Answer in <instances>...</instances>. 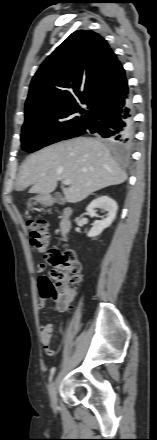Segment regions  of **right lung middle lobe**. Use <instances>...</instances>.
Masks as SVG:
<instances>
[{"label": "right lung middle lobe", "mask_w": 157, "mask_h": 440, "mask_svg": "<svg viewBox=\"0 0 157 440\" xmlns=\"http://www.w3.org/2000/svg\"><path fill=\"white\" fill-rule=\"evenodd\" d=\"M83 126L28 121L22 127L21 147L27 152L37 151L52 143L77 137L82 134Z\"/></svg>", "instance_id": "1"}]
</instances>
